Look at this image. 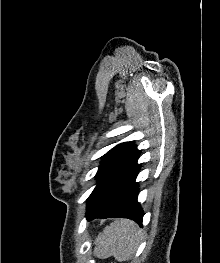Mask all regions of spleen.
Wrapping results in <instances>:
<instances>
[{"instance_id":"obj_1","label":"spleen","mask_w":220,"mask_h":263,"mask_svg":"<svg viewBox=\"0 0 220 263\" xmlns=\"http://www.w3.org/2000/svg\"><path fill=\"white\" fill-rule=\"evenodd\" d=\"M141 231L137 224L127 219H118L106 227L95 241L98 256L113 255L118 261L132 258L139 246Z\"/></svg>"}]
</instances>
